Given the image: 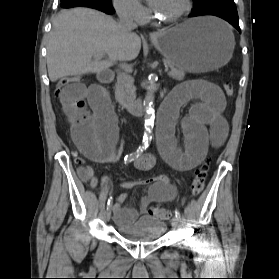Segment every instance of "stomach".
I'll list each match as a JSON object with an SVG mask.
<instances>
[{
  "mask_svg": "<svg viewBox=\"0 0 279 279\" xmlns=\"http://www.w3.org/2000/svg\"><path fill=\"white\" fill-rule=\"evenodd\" d=\"M154 44L173 66L200 73L225 65L235 42L232 31L223 22L199 17L160 32Z\"/></svg>",
  "mask_w": 279,
  "mask_h": 279,
  "instance_id": "stomach-1",
  "label": "stomach"
}]
</instances>
